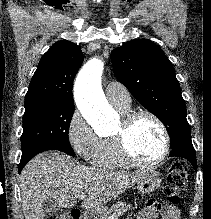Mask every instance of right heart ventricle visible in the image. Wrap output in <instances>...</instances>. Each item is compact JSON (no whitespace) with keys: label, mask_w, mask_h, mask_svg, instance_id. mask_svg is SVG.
Listing matches in <instances>:
<instances>
[{"label":"right heart ventricle","mask_w":211,"mask_h":219,"mask_svg":"<svg viewBox=\"0 0 211 219\" xmlns=\"http://www.w3.org/2000/svg\"><path fill=\"white\" fill-rule=\"evenodd\" d=\"M115 108L122 114L129 112V108ZM90 161L95 166L109 169H118L127 166L117 152L113 137L99 138L98 145L93 152Z\"/></svg>","instance_id":"e07e8e85"}]
</instances>
